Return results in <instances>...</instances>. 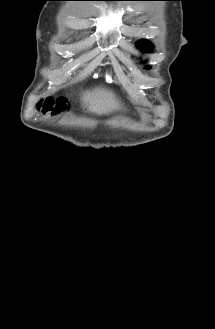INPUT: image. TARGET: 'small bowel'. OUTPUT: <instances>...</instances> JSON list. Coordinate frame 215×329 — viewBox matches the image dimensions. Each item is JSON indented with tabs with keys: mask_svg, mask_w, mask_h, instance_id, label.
<instances>
[{
	"mask_svg": "<svg viewBox=\"0 0 215 329\" xmlns=\"http://www.w3.org/2000/svg\"><path fill=\"white\" fill-rule=\"evenodd\" d=\"M66 104H67V103H65V107H66ZM43 107H44V106H43ZM47 115L55 116V115H57V114H47Z\"/></svg>",
	"mask_w": 215,
	"mask_h": 329,
	"instance_id": "c3829d8e",
	"label": "small bowel"
}]
</instances>
